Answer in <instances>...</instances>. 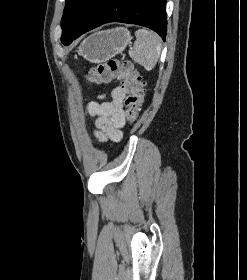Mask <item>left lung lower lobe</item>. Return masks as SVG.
I'll return each instance as SVG.
<instances>
[{"instance_id":"obj_1","label":"left lung lower lobe","mask_w":247,"mask_h":280,"mask_svg":"<svg viewBox=\"0 0 247 280\" xmlns=\"http://www.w3.org/2000/svg\"><path fill=\"white\" fill-rule=\"evenodd\" d=\"M109 22H123L148 27L163 40L167 33L166 0H101L88 14L80 28L61 38L64 45Z\"/></svg>"}]
</instances>
